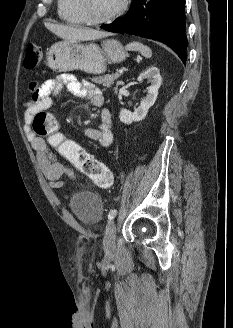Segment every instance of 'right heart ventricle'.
Returning <instances> with one entry per match:
<instances>
[{
	"instance_id": "obj_1",
	"label": "right heart ventricle",
	"mask_w": 233,
	"mask_h": 328,
	"mask_svg": "<svg viewBox=\"0 0 233 328\" xmlns=\"http://www.w3.org/2000/svg\"><path fill=\"white\" fill-rule=\"evenodd\" d=\"M59 17L70 24H85V20L75 0H57Z\"/></svg>"
}]
</instances>
